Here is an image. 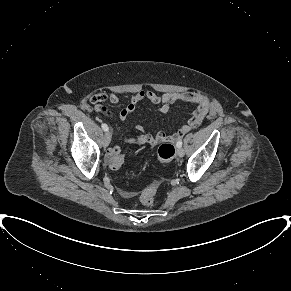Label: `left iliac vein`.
Segmentation results:
<instances>
[{"instance_id":"left-iliac-vein-1","label":"left iliac vein","mask_w":291,"mask_h":291,"mask_svg":"<svg viewBox=\"0 0 291 291\" xmlns=\"http://www.w3.org/2000/svg\"><path fill=\"white\" fill-rule=\"evenodd\" d=\"M184 154H185V152H184L183 148L180 147V148L177 149V155L179 157H183Z\"/></svg>"}]
</instances>
